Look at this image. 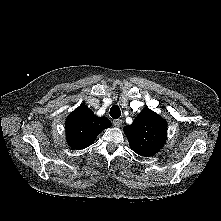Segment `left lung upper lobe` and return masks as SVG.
<instances>
[{
	"mask_svg": "<svg viewBox=\"0 0 221 221\" xmlns=\"http://www.w3.org/2000/svg\"><path fill=\"white\" fill-rule=\"evenodd\" d=\"M131 149L145 157L156 154L164 145L167 137V124L162 117L143 109L131 125L124 127Z\"/></svg>",
	"mask_w": 221,
	"mask_h": 221,
	"instance_id": "left-lung-upper-lobe-1",
	"label": "left lung upper lobe"
}]
</instances>
